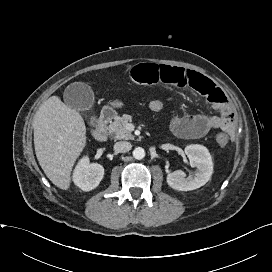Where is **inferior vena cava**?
I'll list each match as a JSON object with an SVG mask.
<instances>
[{"mask_svg": "<svg viewBox=\"0 0 272 272\" xmlns=\"http://www.w3.org/2000/svg\"><path fill=\"white\" fill-rule=\"evenodd\" d=\"M131 148V143L127 141H120L114 144V150L118 153L128 152Z\"/></svg>", "mask_w": 272, "mask_h": 272, "instance_id": "inferior-vena-cava-1", "label": "inferior vena cava"}]
</instances>
